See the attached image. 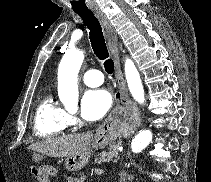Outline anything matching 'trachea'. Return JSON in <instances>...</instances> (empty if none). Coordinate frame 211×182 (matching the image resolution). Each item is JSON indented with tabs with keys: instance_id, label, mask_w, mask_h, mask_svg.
<instances>
[{
	"instance_id": "3493384b",
	"label": "trachea",
	"mask_w": 211,
	"mask_h": 182,
	"mask_svg": "<svg viewBox=\"0 0 211 182\" xmlns=\"http://www.w3.org/2000/svg\"><path fill=\"white\" fill-rule=\"evenodd\" d=\"M75 13L81 17L83 23L89 29V38L95 55L98 59L104 61L106 72L112 74L114 72V62L109 59V52L98 19L90 10L75 11Z\"/></svg>"
}]
</instances>
